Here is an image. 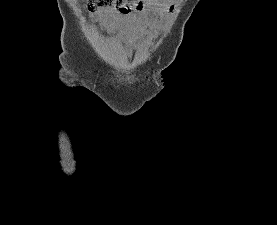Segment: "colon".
Segmentation results:
<instances>
[{
  "label": "colon",
  "instance_id": "1",
  "mask_svg": "<svg viewBox=\"0 0 277 225\" xmlns=\"http://www.w3.org/2000/svg\"><path fill=\"white\" fill-rule=\"evenodd\" d=\"M83 6L90 11L105 9L123 15L130 14L140 8L134 0H83Z\"/></svg>",
  "mask_w": 277,
  "mask_h": 225
}]
</instances>
